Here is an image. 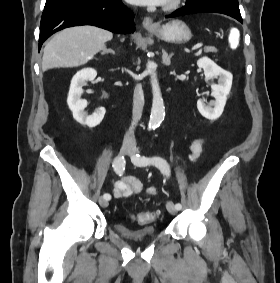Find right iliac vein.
Returning a JSON list of instances; mask_svg holds the SVG:
<instances>
[{"label": "right iliac vein", "instance_id": "63e3f726", "mask_svg": "<svg viewBox=\"0 0 280 283\" xmlns=\"http://www.w3.org/2000/svg\"><path fill=\"white\" fill-rule=\"evenodd\" d=\"M133 150L132 146L124 144L120 149V155H127ZM99 204L101 207L105 208L108 206V200L104 197L99 198Z\"/></svg>", "mask_w": 280, "mask_h": 283}]
</instances>
